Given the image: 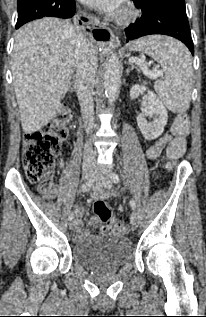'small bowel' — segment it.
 <instances>
[{"instance_id": "obj_1", "label": "small bowel", "mask_w": 206, "mask_h": 317, "mask_svg": "<svg viewBox=\"0 0 206 317\" xmlns=\"http://www.w3.org/2000/svg\"><path fill=\"white\" fill-rule=\"evenodd\" d=\"M171 140V136L170 135H165V136H162L161 138H159L154 144H152L147 152H146V155L149 159H158L164 149H165V146L167 145V143ZM56 192H52L51 196H55ZM109 195V192L101 189V188H95V190L93 191L92 193V198L93 199H98V198H105ZM75 211H76V214L78 216H81L85 213L84 209L80 208V207H76L75 208ZM91 224L93 225H99L100 224V220L96 217H92L91 218ZM109 228L106 227V226H102L101 227V230L102 231H107ZM89 234V231L87 229H83L81 228L80 226L77 227V230L75 232V237L77 239H83L85 238L86 236H88Z\"/></svg>"}]
</instances>
